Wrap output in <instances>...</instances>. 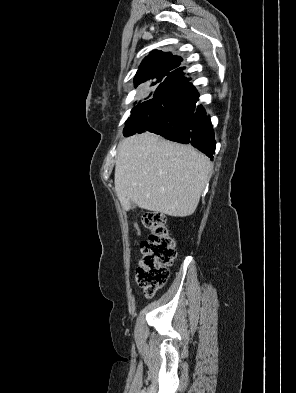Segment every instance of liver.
I'll list each match as a JSON object with an SVG mask.
<instances>
[{"label": "liver", "instance_id": "6515ba94", "mask_svg": "<svg viewBox=\"0 0 296 393\" xmlns=\"http://www.w3.org/2000/svg\"><path fill=\"white\" fill-rule=\"evenodd\" d=\"M212 163L191 146L160 138L153 133L121 141L115 165V191L122 206L174 217L194 213Z\"/></svg>", "mask_w": 296, "mask_h": 393}]
</instances>
